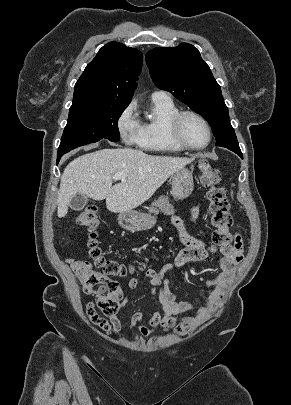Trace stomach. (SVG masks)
<instances>
[{"instance_id": "obj_1", "label": "stomach", "mask_w": 291, "mask_h": 405, "mask_svg": "<svg viewBox=\"0 0 291 405\" xmlns=\"http://www.w3.org/2000/svg\"><path fill=\"white\" fill-rule=\"evenodd\" d=\"M194 182L192 171L182 168L172 177V196L177 200L189 197L193 191ZM118 222L122 228L128 231H142L151 229L156 223V217L135 210L119 214Z\"/></svg>"}]
</instances>
